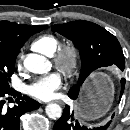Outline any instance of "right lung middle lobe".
Wrapping results in <instances>:
<instances>
[{
	"instance_id": "right-lung-middle-lobe-1",
	"label": "right lung middle lobe",
	"mask_w": 130,
	"mask_h": 130,
	"mask_svg": "<svg viewBox=\"0 0 130 130\" xmlns=\"http://www.w3.org/2000/svg\"><path fill=\"white\" fill-rule=\"evenodd\" d=\"M45 28L46 26H43L34 30L30 36ZM18 53L19 50H15L6 44L0 43V88H10V76L14 73L15 61Z\"/></svg>"
}]
</instances>
